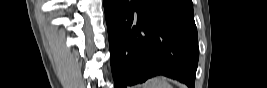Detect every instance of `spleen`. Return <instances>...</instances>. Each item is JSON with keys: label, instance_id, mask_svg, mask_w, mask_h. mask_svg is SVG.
Masks as SVG:
<instances>
[{"label": "spleen", "instance_id": "obj_1", "mask_svg": "<svg viewBox=\"0 0 267 88\" xmlns=\"http://www.w3.org/2000/svg\"><path fill=\"white\" fill-rule=\"evenodd\" d=\"M142 88H173V86L168 82L166 77L157 76L148 79L142 84Z\"/></svg>", "mask_w": 267, "mask_h": 88}]
</instances>
